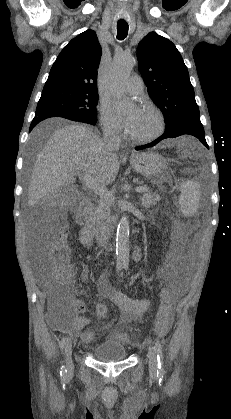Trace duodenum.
<instances>
[{
	"label": "duodenum",
	"instance_id": "duodenum-1",
	"mask_svg": "<svg viewBox=\"0 0 231 419\" xmlns=\"http://www.w3.org/2000/svg\"><path fill=\"white\" fill-rule=\"evenodd\" d=\"M91 200L84 198L76 211V222L88 235L95 236L98 242L110 237L116 230L119 219H115L107 225H98L91 216Z\"/></svg>",
	"mask_w": 231,
	"mask_h": 419
}]
</instances>
